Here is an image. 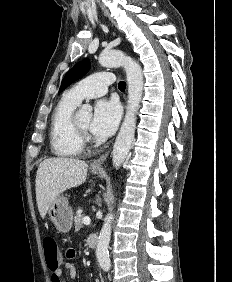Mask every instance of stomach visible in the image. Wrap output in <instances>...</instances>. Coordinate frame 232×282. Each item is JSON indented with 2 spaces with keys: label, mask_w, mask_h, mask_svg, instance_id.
I'll list each match as a JSON object with an SVG mask.
<instances>
[{
  "label": "stomach",
  "mask_w": 232,
  "mask_h": 282,
  "mask_svg": "<svg viewBox=\"0 0 232 282\" xmlns=\"http://www.w3.org/2000/svg\"><path fill=\"white\" fill-rule=\"evenodd\" d=\"M93 174H99L100 170L92 169ZM48 216L56 229L60 232L67 233L72 227L73 211L69 206L66 197L58 196L48 209Z\"/></svg>",
  "instance_id": "obj_1"
}]
</instances>
